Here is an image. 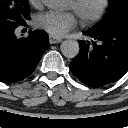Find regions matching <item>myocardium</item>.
<instances>
[{
    "label": "myocardium",
    "mask_w": 128,
    "mask_h": 128,
    "mask_svg": "<svg viewBox=\"0 0 128 128\" xmlns=\"http://www.w3.org/2000/svg\"><path fill=\"white\" fill-rule=\"evenodd\" d=\"M86 0H71L73 10L77 12V15L83 25H92L97 23L106 13L110 5V0H99L97 9L89 15L80 13V9Z\"/></svg>",
    "instance_id": "1"
}]
</instances>
